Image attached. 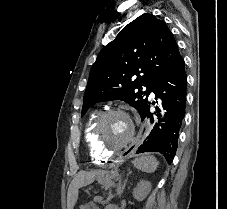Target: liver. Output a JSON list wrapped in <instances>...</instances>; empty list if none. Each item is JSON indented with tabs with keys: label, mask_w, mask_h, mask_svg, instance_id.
I'll use <instances>...</instances> for the list:
<instances>
[{
	"label": "liver",
	"mask_w": 227,
	"mask_h": 209,
	"mask_svg": "<svg viewBox=\"0 0 227 209\" xmlns=\"http://www.w3.org/2000/svg\"><path fill=\"white\" fill-rule=\"evenodd\" d=\"M93 175L94 173H86V171H80V173H78V177H75V179H73L68 189V195H67L68 209H73L77 201L78 189H73V187H75V183H77V181H80V179H83V181H87V179H93Z\"/></svg>",
	"instance_id": "liver-1"
}]
</instances>
